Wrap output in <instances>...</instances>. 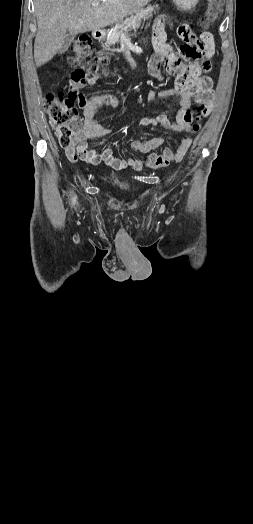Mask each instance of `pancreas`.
I'll return each mask as SVG.
<instances>
[{
	"label": "pancreas",
	"instance_id": "1",
	"mask_svg": "<svg viewBox=\"0 0 253 524\" xmlns=\"http://www.w3.org/2000/svg\"><path fill=\"white\" fill-rule=\"evenodd\" d=\"M159 11L158 5H148L146 8L137 11L134 15L125 19L124 21L118 22L114 29H112L103 44V47L109 48L110 46L115 45L121 37L127 36L128 31L141 23L142 20H147L153 16V13ZM160 17H165V15H160Z\"/></svg>",
	"mask_w": 253,
	"mask_h": 524
}]
</instances>
